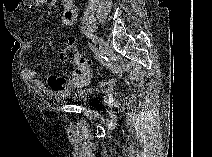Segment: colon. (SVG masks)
Returning <instances> with one entry per match:
<instances>
[{
	"label": "colon",
	"mask_w": 212,
	"mask_h": 157,
	"mask_svg": "<svg viewBox=\"0 0 212 157\" xmlns=\"http://www.w3.org/2000/svg\"><path fill=\"white\" fill-rule=\"evenodd\" d=\"M60 56L64 63L77 67L75 79L83 81L87 78L89 72L88 60L72 42H68L62 47Z\"/></svg>",
	"instance_id": "colon-1"
}]
</instances>
